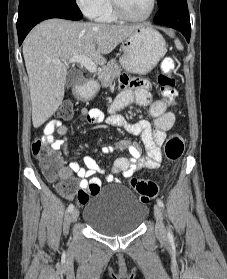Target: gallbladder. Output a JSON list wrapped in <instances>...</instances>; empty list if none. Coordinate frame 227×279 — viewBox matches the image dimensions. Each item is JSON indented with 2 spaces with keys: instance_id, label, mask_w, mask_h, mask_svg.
Returning a JSON list of instances; mask_svg holds the SVG:
<instances>
[{
  "instance_id": "1",
  "label": "gallbladder",
  "mask_w": 227,
  "mask_h": 279,
  "mask_svg": "<svg viewBox=\"0 0 227 279\" xmlns=\"http://www.w3.org/2000/svg\"><path fill=\"white\" fill-rule=\"evenodd\" d=\"M81 77V72L79 70H70L67 73L66 77V87H71L73 84L77 82V80Z\"/></svg>"
}]
</instances>
